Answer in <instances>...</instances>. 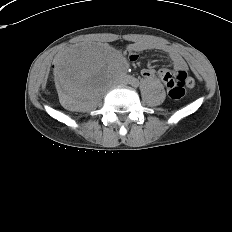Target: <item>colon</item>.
I'll use <instances>...</instances> for the list:
<instances>
[{
  "label": "colon",
  "mask_w": 232,
  "mask_h": 232,
  "mask_svg": "<svg viewBox=\"0 0 232 232\" xmlns=\"http://www.w3.org/2000/svg\"><path fill=\"white\" fill-rule=\"evenodd\" d=\"M171 99H180L184 96L185 86H191L193 80L185 75H174L165 81Z\"/></svg>",
  "instance_id": "5ec220e1"
}]
</instances>
